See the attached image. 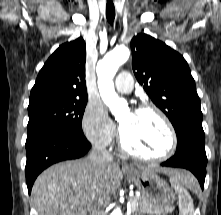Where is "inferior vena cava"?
Returning <instances> with one entry per match:
<instances>
[{
  "instance_id": "1",
  "label": "inferior vena cava",
  "mask_w": 221,
  "mask_h": 215,
  "mask_svg": "<svg viewBox=\"0 0 221 215\" xmlns=\"http://www.w3.org/2000/svg\"><path fill=\"white\" fill-rule=\"evenodd\" d=\"M89 160L96 167V170L100 171L106 162L113 161V156L106 150V146L96 144L90 152ZM107 204L108 202L101 195H98L91 205L90 215H106Z\"/></svg>"
}]
</instances>
